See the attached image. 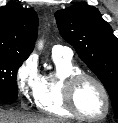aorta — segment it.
Wrapping results in <instances>:
<instances>
[{"instance_id": "762f6f07", "label": "aorta", "mask_w": 118, "mask_h": 123, "mask_svg": "<svg viewBox=\"0 0 118 123\" xmlns=\"http://www.w3.org/2000/svg\"><path fill=\"white\" fill-rule=\"evenodd\" d=\"M42 47H43V43H42V41H40V42L38 43V48L41 49Z\"/></svg>"}]
</instances>
